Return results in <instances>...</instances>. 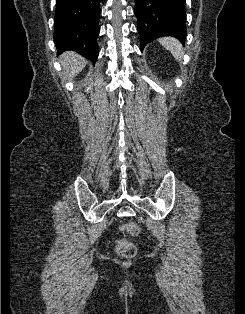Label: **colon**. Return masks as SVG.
Wrapping results in <instances>:
<instances>
[{
    "label": "colon",
    "mask_w": 245,
    "mask_h": 314,
    "mask_svg": "<svg viewBox=\"0 0 245 314\" xmlns=\"http://www.w3.org/2000/svg\"><path fill=\"white\" fill-rule=\"evenodd\" d=\"M121 230L131 234L138 235L140 233V227L136 222H126L121 226ZM115 251L123 258H132L136 255V245L126 238H119L115 241Z\"/></svg>",
    "instance_id": "colon-1"
}]
</instances>
